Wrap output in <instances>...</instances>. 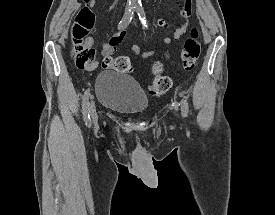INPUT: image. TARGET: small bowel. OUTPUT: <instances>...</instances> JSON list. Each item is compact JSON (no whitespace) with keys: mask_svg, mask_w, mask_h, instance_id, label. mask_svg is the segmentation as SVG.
Returning <instances> with one entry per match:
<instances>
[{"mask_svg":"<svg viewBox=\"0 0 275 215\" xmlns=\"http://www.w3.org/2000/svg\"><path fill=\"white\" fill-rule=\"evenodd\" d=\"M98 5L97 0H91L90 2V8H96ZM192 14V0H182V4L180 7V15L183 18V23L180 24L179 26H177L173 33L170 36H166L163 40V42L165 44H170L173 40H178L180 39L184 33L188 30L189 27V23H188V19ZM158 26L166 28L168 26V22L164 19H159L157 22ZM120 31H118L116 34H114L110 40L107 43H104L102 45V50H101V54L103 56H108L110 54H112L115 50L116 47L122 42V40L124 39L126 33L124 28L123 29H119ZM88 43L90 45L93 44V39L92 37H88ZM132 52L135 55H139L142 58H148L153 54V51H144L142 52L140 47L136 44L132 45ZM98 61L93 60L89 65H87L85 67L86 70H94L98 67Z\"/></svg>","mask_w":275,"mask_h":215,"instance_id":"obj_1","label":"small bowel"}]
</instances>
